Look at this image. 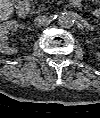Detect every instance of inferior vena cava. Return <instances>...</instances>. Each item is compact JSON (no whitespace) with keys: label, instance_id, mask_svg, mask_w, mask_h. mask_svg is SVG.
<instances>
[{"label":"inferior vena cava","instance_id":"1","mask_svg":"<svg viewBox=\"0 0 100 118\" xmlns=\"http://www.w3.org/2000/svg\"><path fill=\"white\" fill-rule=\"evenodd\" d=\"M48 21V17L45 15H39L34 19V24L38 26L44 25Z\"/></svg>","mask_w":100,"mask_h":118}]
</instances>
